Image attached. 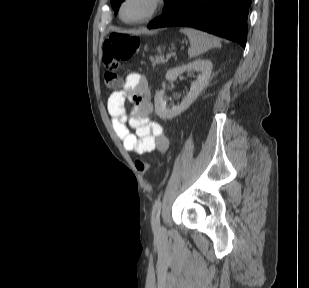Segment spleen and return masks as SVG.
Wrapping results in <instances>:
<instances>
[{"mask_svg":"<svg viewBox=\"0 0 309 288\" xmlns=\"http://www.w3.org/2000/svg\"><path fill=\"white\" fill-rule=\"evenodd\" d=\"M180 31L189 38L191 46L188 49V55L190 58L197 57L211 48L221 46L217 37L206 32L193 28H182Z\"/></svg>","mask_w":309,"mask_h":288,"instance_id":"3e777b00","label":"spleen"}]
</instances>
